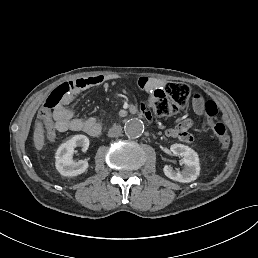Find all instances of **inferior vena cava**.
Returning a JSON list of instances; mask_svg holds the SVG:
<instances>
[{"mask_svg":"<svg viewBox=\"0 0 258 258\" xmlns=\"http://www.w3.org/2000/svg\"><path fill=\"white\" fill-rule=\"evenodd\" d=\"M122 127L120 125H115L109 129L108 136L109 137H117L121 134Z\"/></svg>","mask_w":258,"mask_h":258,"instance_id":"inferior-vena-cava-1","label":"inferior vena cava"}]
</instances>
